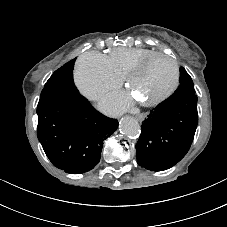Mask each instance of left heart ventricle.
I'll return each instance as SVG.
<instances>
[{
    "mask_svg": "<svg viewBox=\"0 0 227 227\" xmlns=\"http://www.w3.org/2000/svg\"><path fill=\"white\" fill-rule=\"evenodd\" d=\"M172 80L171 61L165 57H157L135 76L131 90L138 99L145 100L165 91Z\"/></svg>",
    "mask_w": 227,
    "mask_h": 227,
    "instance_id": "left-heart-ventricle-1",
    "label": "left heart ventricle"
}]
</instances>
